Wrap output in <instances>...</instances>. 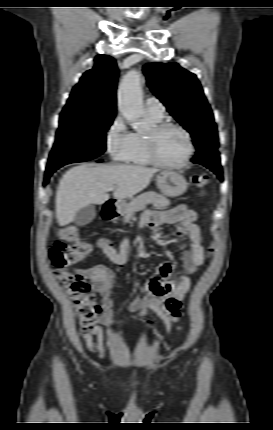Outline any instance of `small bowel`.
<instances>
[{
  "mask_svg": "<svg viewBox=\"0 0 273 430\" xmlns=\"http://www.w3.org/2000/svg\"><path fill=\"white\" fill-rule=\"evenodd\" d=\"M196 220V211L185 204L166 210L146 211L140 220V226L149 225L152 229H157L164 224L179 223L178 234L186 235L189 241V249L183 254L185 274L181 279L171 278L177 265L174 260H170L159 267L156 276L142 286L138 296L128 304L130 311L138 312L135 318L150 327L152 322L146 318V314L148 310L155 312L163 321L167 335L180 320V304L192 286L191 275L197 272L205 260L201 228ZM97 246L118 269L123 267L129 254L128 238L123 239L119 250H116L106 239H100ZM76 272L90 279L93 289L101 296L103 312L97 318L93 328L84 335V339L88 350L103 358L107 350L101 326L110 327L115 324L111 292L116 272L102 264L87 269L78 268Z\"/></svg>",
  "mask_w": 273,
  "mask_h": 430,
  "instance_id": "1",
  "label": "small bowel"
}]
</instances>
